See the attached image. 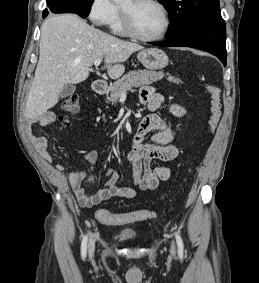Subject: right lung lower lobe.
<instances>
[{"label":"right lung lower lobe","instance_id":"right-lung-lower-lobe-1","mask_svg":"<svg viewBox=\"0 0 259 283\" xmlns=\"http://www.w3.org/2000/svg\"><path fill=\"white\" fill-rule=\"evenodd\" d=\"M81 0H47L48 9L43 11V17L48 15L49 11L53 13H76L79 16Z\"/></svg>","mask_w":259,"mask_h":283}]
</instances>
